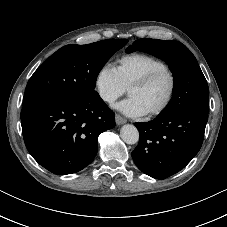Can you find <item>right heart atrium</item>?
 I'll return each instance as SVG.
<instances>
[{"label": "right heart atrium", "mask_w": 227, "mask_h": 227, "mask_svg": "<svg viewBox=\"0 0 227 227\" xmlns=\"http://www.w3.org/2000/svg\"><path fill=\"white\" fill-rule=\"evenodd\" d=\"M94 87L101 101L107 105H113L126 91L114 68L109 65L102 66L96 72Z\"/></svg>", "instance_id": "obj_1"}]
</instances>
